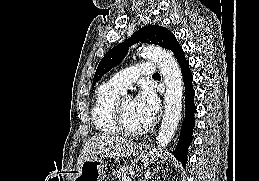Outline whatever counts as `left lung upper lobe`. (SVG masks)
I'll use <instances>...</instances> for the list:
<instances>
[{"label": "left lung upper lobe", "instance_id": "1", "mask_svg": "<svg viewBox=\"0 0 259 181\" xmlns=\"http://www.w3.org/2000/svg\"><path fill=\"white\" fill-rule=\"evenodd\" d=\"M142 43H153L165 49H170L177 40L166 28L158 25H147L136 31L128 40L110 49L100 61L93 79L95 83L113 67L119 64L126 56L131 45Z\"/></svg>", "mask_w": 259, "mask_h": 181}]
</instances>
